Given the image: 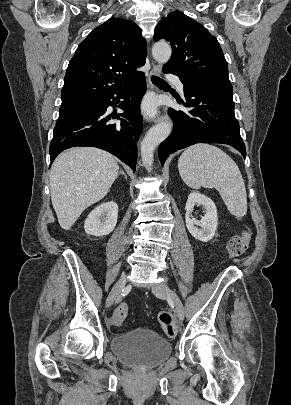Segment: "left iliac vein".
Listing matches in <instances>:
<instances>
[{"label":"left iliac vein","mask_w":291,"mask_h":405,"mask_svg":"<svg viewBox=\"0 0 291 405\" xmlns=\"http://www.w3.org/2000/svg\"><path fill=\"white\" fill-rule=\"evenodd\" d=\"M153 293L159 298L170 297L175 305L179 321L184 319V307L178 295L166 284H157L152 287Z\"/></svg>","instance_id":"obj_1"}]
</instances>
